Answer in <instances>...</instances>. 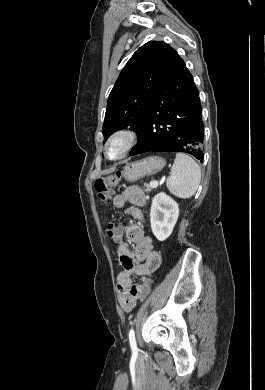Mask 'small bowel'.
I'll return each instance as SVG.
<instances>
[{
    "label": "small bowel",
    "instance_id": "obj_1",
    "mask_svg": "<svg viewBox=\"0 0 265 390\" xmlns=\"http://www.w3.org/2000/svg\"><path fill=\"white\" fill-rule=\"evenodd\" d=\"M146 203V195L136 186L128 187L123 193L113 198L116 208L131 204V214L141 220V208ZM120 239L117 241V252L123 271L117 276V290L121 307L129 312L140 299V285L133 284V276H147L155 272L161 264L160 254L153 249L152 239L147 236L140 223L130 224L123 228L119 226ZM126 235L127 241L123 239ZM129 243L135 245L133 251Z\"/></svg>",
    "mask_w": 265,
    "mask_h": 390
}]
</instances>
